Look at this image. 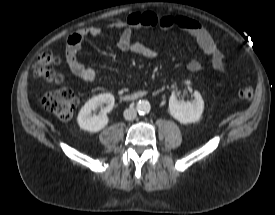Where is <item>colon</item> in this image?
Wrapping results in <instances>:
<instances>
[{
    "instance_id": "5ec220e1",
    "label": "colon",
    "mask_w": 275,
    "mask_h": 215,
    "mask_svg": "<svg viewBox=\"0 0 275 215\" xmlns=\"http://www.w3.org/2000/svg\"><path fill=\"white\" fill-rule=\"evenodd\" d=\"M57 63V56L42 53L33 67V72L44 84L57 86L43 96V107L58 119L69 120L77 107L78 98L68 82L54 71L53 66ZM238 96L243 100H250L253 97V89L243 87L239 90Z\"/></svg>"
}]
</instances>
